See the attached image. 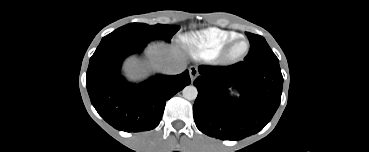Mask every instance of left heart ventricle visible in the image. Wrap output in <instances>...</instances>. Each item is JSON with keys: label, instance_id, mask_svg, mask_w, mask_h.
I'll return each instance as SVG.
<instances>
[{"label": "left heart ventricle", "instance_id": "left-heart-ventricle-1", "mask_svg": "<svg viewBox=\"0 0 369 152\" xmlns=\"http://www.w3.org/2000/svg\"><path fill=\"white\" fill-rule=\"evenodd\" d=\"M245 48V43L244 42H240L236 45L234 51L235 52H242Z\"/></svg>", "mask_w": 369, "mask_h": 152}]
</instances>
